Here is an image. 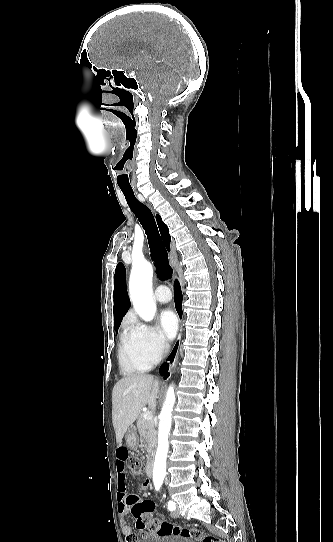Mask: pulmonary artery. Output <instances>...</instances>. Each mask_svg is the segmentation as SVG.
<instances>
[{
  "label": "pulmonary artery",
  "instance_id": "obj_1",
  "mask_svg": "<svg viewBox=\"0 0 333 542\" xmlns=\"http://www.w3.org/2000/svg\"><path fill=\"white\" fill-rule=\"evenodd\" d=\"M156 291L158 292V295H155V299L157 302L161 304H166L170 301L171 293L165 284H160L157 287Z\"/></svg>",
  "mask_w": 333,
  "mask_h": 542
}]
</instances>
